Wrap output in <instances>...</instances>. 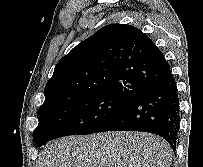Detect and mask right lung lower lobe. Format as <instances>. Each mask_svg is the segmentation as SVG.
Wrapping results in <instances>:
<instances>
[{"label": "right lung lower lobe", "mask_w": 203, "mask_h": 167, "mask_svg": "<svg viewBox=\"0 0 203 167\" xmlns=\"http://www.w3.org/2000/svg\"><path fill=\"white\" fill-rule=\"evenodd\" d=\"M179 123V97L176 82L170 74L159 84L130 100L94 133L150 132L163 137L175 151Z\"/></svg>", "instance_id": "right-lung-lower-lobe-1"}]
</instances>
